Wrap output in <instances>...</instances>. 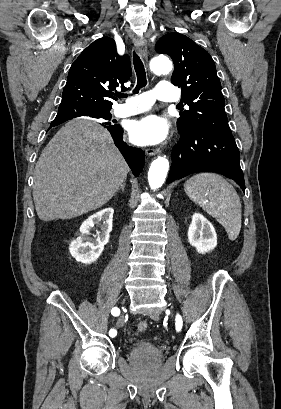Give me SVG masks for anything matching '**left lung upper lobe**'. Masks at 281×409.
<instances>
[{
    "label": "left lung upper lobe",
    "mask_w": 281,
    "mask_h": 409,
    "mask_svg": "<svg viewBox=\"0 0 281 409\" xmlns=\"http://www.w3.org/2000/svg\"><path fill=\"white\" fill-rule=\"evenodd\" d=\"M158 53L168 54L175 65L171 81L182 88V102L190 109L180 112L179 133L203 127L232 134L224 110L221 83L210 54L179 33L164 35L156 44Z\"/></svg>",
    "instance_id": "left-lung-upper-lobe-1"
}]
</instances>
